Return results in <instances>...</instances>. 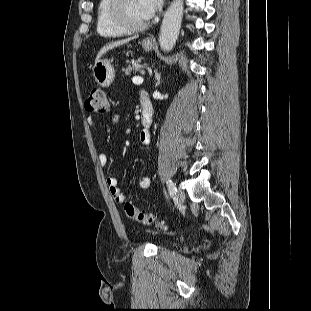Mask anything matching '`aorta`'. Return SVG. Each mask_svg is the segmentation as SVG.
<instances>
[{"label": "aorta", "mask_w": 311, "mask_h": 311, "mask_svg": "<svg viewBox=\"0 0 311 311\" xmlns=\"http://www.w3.org/2000/svg\"><path fill=\"white\" fill-rule=\"evenodd\" d=\"M183 10V0H173L165 12L159 34V44L165 52L171 51L177 41Z\"/></svg>", "instance_id": "aorta-1"}]
</instances>
